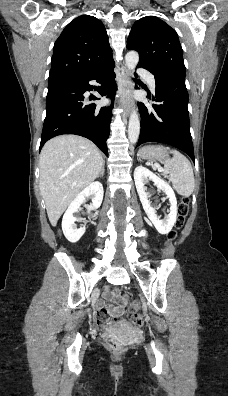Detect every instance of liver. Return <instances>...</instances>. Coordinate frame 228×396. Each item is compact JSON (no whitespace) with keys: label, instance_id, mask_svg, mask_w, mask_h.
<instances>
[{"label":"liver","instance_id":"liver-1","mask_svg":"<svg viewBox=\"0 0 228 396\" xmlns=\"http://www.w3.org/2000/svg\"><path fill=\"white\" fill-rule=\"evenodd\" d=\"M104 160L87 138L61 135L52 138L40 153V192L52 226L74 198L99 175Z\"/></svg>","mask_w":228,"mask_h":396}]
</instances>
